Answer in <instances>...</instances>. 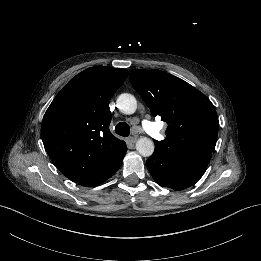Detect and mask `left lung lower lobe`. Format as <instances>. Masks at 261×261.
<instances>
[{
  "label": "left lung lower lobe",
  "instance_id": "0a47b994",
  "mask_svg": "<svg viewBox=\"0 0 261 261\" xmlns=\"http://www.w3.org/2000/svg\"><path fill=\"white\" fill-rule=\"evenodd\" d=\"M146 166L157 184L176 191L194 185L207 168V165L169 158L156 151L148 158Z\"/></svg>",
  "mask_w": 261,
  "mask_h": 261
}]
</instances>
